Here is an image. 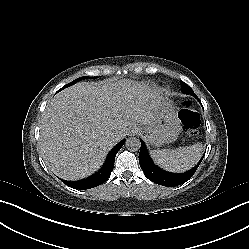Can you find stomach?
I'll return each instance as SVG.
<instances>
[{
  "label": "stomach",
  "instance_id": "1",
  "mask_svg": "<svg viewBox=\"0 0 249 249\" xmlns=\"http://www.w3.org/2000/svg\"><path fill=\"white\" fill-rule=\"evenodd\" d=\"M157 112L154 121L144 127V139L149 145L161 147L174 141L181 129L180 122L176 118L174 104L168 97L158 96Z\"/></svg>",
  "mask_w": 249,
  "mask_h": 249
}]
</instances>
